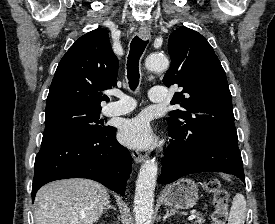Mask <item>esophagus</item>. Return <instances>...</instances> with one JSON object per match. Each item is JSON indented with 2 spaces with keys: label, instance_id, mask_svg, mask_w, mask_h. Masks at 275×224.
I'll use <instances>...</instances> for the list:
<instances>
[{
  "label": "esophagus",
  "instance_id": "obj_1",
  "mask_svg": "<svg viewBox=\"0 0 275 224\" xmlns=\"http://www.w3.org/2000/svg\"><path fill=\"white\" fill-rule=\"evenodd\" d=\"M138 34L141 39L145 41L150 40V37H151L150 30L145 23H141ZM132 157L136 163H141L145 159V156L139 151H134L132 153Z\"/></svg>",
  "mask_w": 275,
  "mask_h": 224
}]
</instances>
